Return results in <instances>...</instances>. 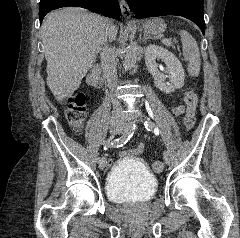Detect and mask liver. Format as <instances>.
<instances>
[{
  "mask_svg": "<svg viewBox=\"0 0 240 238\" xmlns=\"http://www.w3.org/2000/svg\"><path fill=\"white\" fill-rule=\"evenodd\" d=\"M98 18L81 8L68 7L49 13L42 23L47 85L60 102L79 88L96 60L102 32ZM117 32L111 22L107 30L110 41L116 39Z\"/></svg>",
  "mask_w": 240,
  "mask_h": 238,
  "instance_id": "1",
  "label": "liver"
}]
</instances>
